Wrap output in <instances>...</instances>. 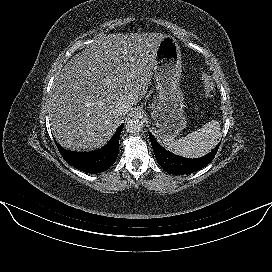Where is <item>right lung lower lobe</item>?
<instances>
[{
	"label": "right lung lower lobe",
	"mask_w": 272,
	"mask_h": 272,
	"mask_svg": "<svg viewBox=\"0 0 272 272\" xmlns=\"http://www.w3.org/2000/svg\"><path fill=\"white\" fill-rule=\"evenodd\" d=\"M124 124L115 132L112 139L103 148L92 152H72L56 146L62 157L71 166L86 173H100L109 169L116 161L118 155L119 138Z\"/></svg>",
	"instance_id": "obj_1"
}]
</instances>
